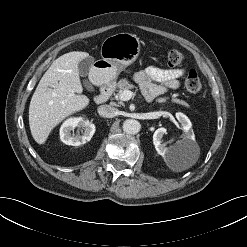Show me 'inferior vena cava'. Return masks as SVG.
<instances>
[{"mask_svg":"<svg viewBox=\"0 0 247 247\" xmlns=\"http://www.w3.org/2000/svg\"><path fill=\"white\" fill-rule=\"evenodd\" d=\"M98 113L100 116L112 118L117 115L118 110L110 105H101L98 107Z\"/></svg>","mask_w":247,"mask_h":247,"instance_id":"inferior-vena-cava-1","label":"inferior vena cava"}]
</instances>
